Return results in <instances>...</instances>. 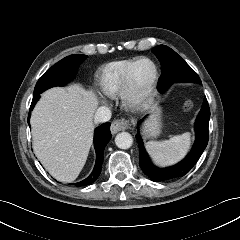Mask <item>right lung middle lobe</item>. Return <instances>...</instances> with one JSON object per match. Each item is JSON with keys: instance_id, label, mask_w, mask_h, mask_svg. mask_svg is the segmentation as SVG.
<instances>
[{"instance_id": "1", "label": "right lung middle lobe", "mask_w": 240, "mask_h": 240, "mask_svg": "<svg viewBox=\"0 0 240 240\" xmlns=\"http://www.w3.org/2000/svg\"><path fill=\"white\" fill-rule=\"evenodd\" d=\"M86 57V55L74 54L56 63L38 80L34 89V95L40 94L54 86L65 85L74 77L76 69Z\"/></svg>"}]
</instances>
